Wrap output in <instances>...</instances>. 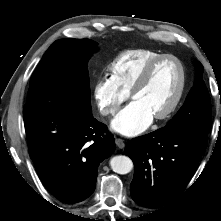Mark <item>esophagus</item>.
Segmentation results:
<instances>
[{
	"label": "esophagus",
	"instance_id": "esophagus-1",
	"mask_svg": "<svg viewBox=\"0 0 221 221\" xmlns=\"http://www.w3.org/2000/svg\"><path fill=\"white\" fill-rule=\"evenodd\" d=\"M115 143H116L117 147L120 148V149H123L125 147L124 141L120 138H117L115 140Z\"/></svg>",
	"mask_w": 221,
	"mask_h": 221
}]
</instances>
